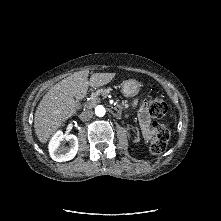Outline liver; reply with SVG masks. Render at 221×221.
<instances>
[{
	"mask_svg": "<svg viewBox=\"0 0 221 221\" xmlns=\"http://www.w3.org/2000/svg\"><path fill=\"white\" fill-rule=\"evenodd\" d=\"M88 75V70L75 72L55 84L42 98L34 117L35 133L41 143H46L73 116L76 100L86 96L89 86H104L115 78L116 73H94L90 80Z\"/></svg>",
	"mask_w": 221,
	"mask_h": 221,
	"instance_id": "6515ba94",
	"label": "liver"
}]
</instances>
